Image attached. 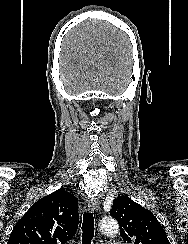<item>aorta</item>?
<instances>
[{
    "instance_id": "762f6f07",
    "label": "aorta",
    "mask_w": 188,
    "mask_h": 244,
    "mask_svg": "<svg viewBox=\"0 0 188 244\" xmlns=\"http://www.w3.org/2000/svg\"><path fill=\"white\" fill-rule=\"evenodd\" d=\"M118 228L117 221L112 217H104L100 220L99 229L105 235H115Z\"/></svg>"
}]
</instances>
